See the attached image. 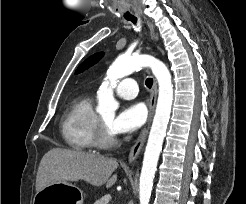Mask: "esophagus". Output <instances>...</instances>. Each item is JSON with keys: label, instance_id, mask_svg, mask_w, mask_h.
<instances>
[{"label": "esophagus", "instance_id": "obj_1", "mask_svg": "<svg viewBox=\"0 0 246 204\" xmlns=\"http://www.w3.org/2000/svg\"><path fill=\"white\" fill-rule=\"evenodd\" d=\"M147 25L150 29L151 32V37L152 40L154 42H156L157 40V35L155 33L154 30V26L151 22H149L148 20L146 21ZM156 99H157V82L154 80L153 86H152V91H151V98H150V102H149V115H148V119L146 122V125L144 126V128L142 129L141 133L139 134L135 144L132 146L129 156H128V162L131 164L133 163L137 156L139 155L149 132L150 129V125L152 122V118L154 115V111H155V105H156Z\"/></svg>", "mask_w": 246, "mask_h": 204}]
</instances>
